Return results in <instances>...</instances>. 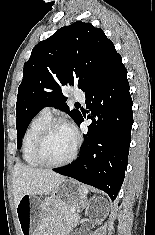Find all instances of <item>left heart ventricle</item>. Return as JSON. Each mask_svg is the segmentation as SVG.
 <instances>
[{
	"label": "left heart ventricle",
	"instance_id": "1",
	"mask_svg": "<svg viewBox=\"0 0 155 235\" xmlns=\"http://www.w3.org/2000/svg\"><path fill=\"white\" fill-rule=\"evenodd\" d=\"M74 135L66 127L58 126L49 134L44 145L43 154L50 162L64 160L71 153L74 146Z\"/></svg>",
	"mask_w": 155,
	"mask_h": 235
}]
</instances>
